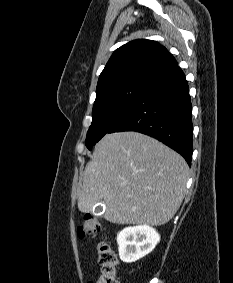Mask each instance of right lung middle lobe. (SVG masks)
Returning <instances> with one entry per match:
<instances>
[{
  "label": "right lung middle lobe",
  "mask_w": 233,
  "mask_h": 283,
  "mask_svg": "<svg viewBox=\"0 0 233 283\" xmlns=\"http://www.w3.org/2000/svg\"><path fill=\"white\" fill-rule=\"evenodd\" d=\"M149 83L146 80H131L96 92L92 123L85 141L89 150L108 133Z\"/></svg>",
  "instance_id": "1"
}]
</instances>
